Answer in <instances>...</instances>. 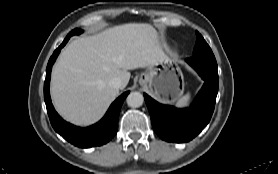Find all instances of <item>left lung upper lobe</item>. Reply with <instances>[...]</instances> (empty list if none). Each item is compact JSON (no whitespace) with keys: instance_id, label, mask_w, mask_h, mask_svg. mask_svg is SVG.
<instances>
[{"instance_id":"obj_1","label":"left lung upper lobe","mask_w":278,"mask_h":174,"mask_svg":"<svg viewBox=\"0 0 278 174\" xmlns=\"http://www.w3.org/2000/svg\"><path fill=\"white\" fill-rule=\"evenodd\" d=\"M197 40L193 51V58L201 59L213 66H217L214 54L204 38L196 32Z\"/></svg>"}]
</instances>
